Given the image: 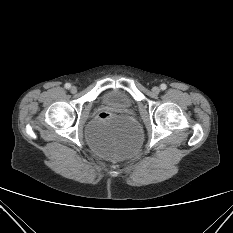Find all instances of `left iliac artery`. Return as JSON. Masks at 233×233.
<instances>
[{"mask_svg": "<svg viewBox=\"0 0 233 233\" xmlns=\"http://www.w3.org/2000/svg\"><path fill=\"white\" fill-rule=\"evenodd\" d=\"M160 88H161L162 90H165V89L167 88V86H166V84L163 83V84L160 85Z\"/></svg>", "mask_w": 233, "mask_h": 233, "instance_id": "1", "label": "left iliac artery"}]
</instances>
